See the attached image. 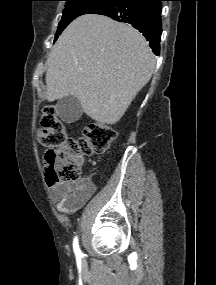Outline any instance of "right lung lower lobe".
<instances>
[{
  "label": "right lung lower lobe",
  "mask_w": 216,
  "mask_h": 285,
  "mask_svg": "<svg viewBox=\"0 0 216 285\" xmlns=\"http://www.w3.org/2000/svg\"><path fill=\"white\" fill-rule=\"evenodd\" d=\"M161 1L164 0H115L94 14L131 24L143 33L154 54L158 55L162 33Z\"/></svg>",
  "instance_id": "1"
}]
</instances>
